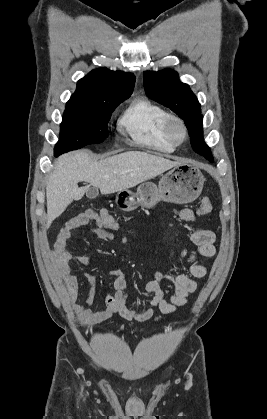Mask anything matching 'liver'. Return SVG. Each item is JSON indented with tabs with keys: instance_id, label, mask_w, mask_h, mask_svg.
Returning <instances> with one entry per match:
<instances>
[{
	"instance_id": "obj_1",
	"label": "liver",
	"mask_w": 267,
	"mask_h": 419,
	"mask_svg": "<svg viewBox=\"0 0 267 419\" xmlns=\"http://www.w3.org/2000/svg\"><path fill=\"white\" fill-rule=\"evenodd\" d=\"M179 164L141 151H128L100 161L94 160L87 150L64 154L55 160L46 184V227L73 201L84 196L86 187L79 188V182H88L107 195L135 187Z\"/></svg>"
}]
</instances>
